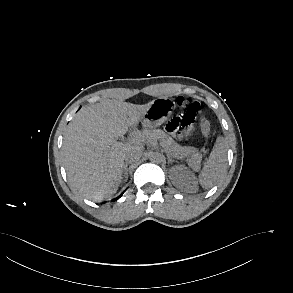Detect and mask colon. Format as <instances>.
Here are the masks:
<instances>
[{"mask_svg":"<svg viewBox=\"0 0 293 293\" xmlns=\"http://www.w3.org/2000/svg\"><path fill=\"white\" fill-rule=\"evenodd\" d=\"M176 104L183 110L166 124V131L170 134L180 136L200 115L201 105L196 101L188 103L183 97H178ZM200 127L204 137L210 139L212 137L211 126L205 117L200 118Z\"/></svg>","mask_w":293,"mask_h":293,"instance_id":"1","label":"colon"}]
</instances>
